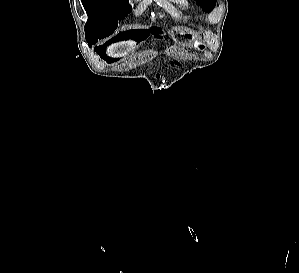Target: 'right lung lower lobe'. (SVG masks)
Instances as JSON below:
<instances>
[{"mask_svg":"<svg viewBox=\"0 0 299 273\" xmlns=\"http://www.w3.org/2000/svg\"><path fill=\"white\" fill-rule=\"evenodd\" d=\"M99 39H92V40H88V45L89 47H92L93 44H95Z\"/></svg>","mask_w":299,"mask_h":273,"instance_id":"obj_1","label":"right lung lower lobe"}]
</instances>
